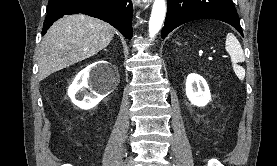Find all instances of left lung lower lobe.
Wrapping results in <instances>:
<instances>
[{
    "label": "left lung lower lobe",
    "mask_w": 277,
    "mask_h": 166,
    "mask_svg": "<svg viewBox=\"0 0 277 166\" xmlns=\"http://www.w3.org/2000/svg\"><path fill=\"white\" fill-rule=\"evenodd\" d=\"M198 19H216L232 25L243 36L232 0H168L162 38L176 27Z\"/></svg>",
    "instance_id": "1"
}]
</instances>
